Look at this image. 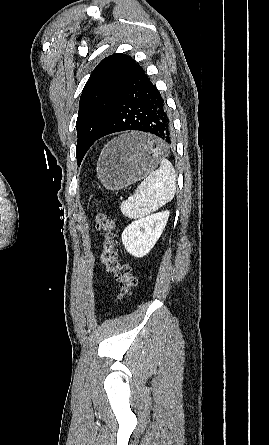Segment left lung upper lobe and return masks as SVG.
<instances>
[{"mask_svg": "<svg viewBox=\"0 0 269 445\" xmlns=\"http://www.w3.org/2000/svg\"><path fill=\"white\" fill-rule=\"evenodd\" d=\"M137 66L130 56L118 53L104 58L91 73L82 91L76 122L78 165L116 108Z\"/></svg>", "mask_w": 269, "mask_h": 445, "instance_id": "1", "label": "left lung upper lobe"}]
</instances>
